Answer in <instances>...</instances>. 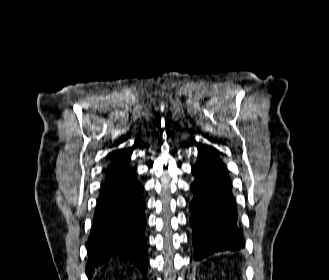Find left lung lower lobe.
<instances>
[{
  "mask_svg": "<svg viewBox=\"0 0 329 280\" xmlns=\"http://www.w3.org/2000/svg\"><path fill=\"white\" fill-rule=\"evenodd\" d=\"M196 179L190 189V223L193 229L194 259L224 250L244 247L235 199L226 166L214 148L203 146L192 168Z\"/></svg>",
  "mask_w": 329,
  "mask_h": 280,
  "instance_id": "obj_1",
  "label": "left lung lower lobe"
}]
</instances>
